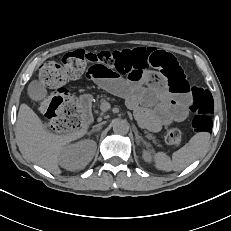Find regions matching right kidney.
Returning a JSON list of instances; mask_svg holds the SVG:
<instances>
[{"mask_svg": "<svg viewBox=\"0 0 231 231\" xmlns=\"http://www.w3.org/2000/svg\"><path fill=\"white\" fill-rule=\"evenodd\" d=\"M96 148V142L87 139L69 145L62 150L59 163L66 170L83 169L94 157Z\"/></svg>", "mask_w": 231, "mask_h": 231, "instance_id": "1", "label": "right kidney"}]
</instances>
